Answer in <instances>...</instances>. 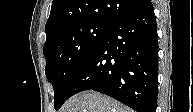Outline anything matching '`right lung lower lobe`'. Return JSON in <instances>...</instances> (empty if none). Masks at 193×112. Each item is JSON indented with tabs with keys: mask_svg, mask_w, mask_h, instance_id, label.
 <instances>
[{
	"mask_svg": "<svg viewBox=\"0 0 193 112\" xmlns=\"http://www.w3.org/2000/svg\"><path fill=\"white\" fill-rule=\"evenodd\" d=\"M90 89L137 112L156 111L158 38L151 0L108 26L78 73L69 97Z\"/></svg>",
	"mask_w": 193,
	"mask_h": 112,
	"instance_id": "obj_1",
	"label": "right lung lower lobe"
}]
</instances>
